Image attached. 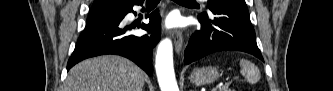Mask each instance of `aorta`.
<instances>
[{"mask_svg":"<svg viewBox=\"0 0 333 91\" xmlns=\"http://www.w3.org/2000/svg\"><path fill=\"white\" fill-rule=\"evenodd\" d=\"M155 68L161 91H179L173 66V45L168 38L158 46Z\"/></svg>","mask_w":333,"mask_h":91,"instance_id":"1","label":"aorta"}]
</instances>
